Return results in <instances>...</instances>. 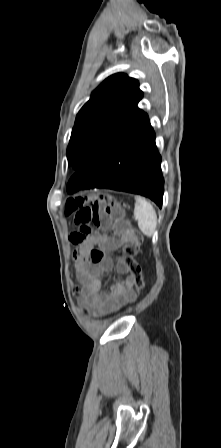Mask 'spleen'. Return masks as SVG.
<instances>
[{"instance_id": "spleen-1", "label": "spleen", "mask_w": 221, "mask_h": 448, "mask_svg": "<svg viewBox=\"0 0 221 448\" xmlns=\"http://www.w3.org/2000/svg\"><path fill=\"white\" fill-rule=\"evenodd\" d=\"M134 217L138 221V227L147 237L155 234L157 215L153 206L140 196L135 197Z\"/></svg>"}]
</instances>
